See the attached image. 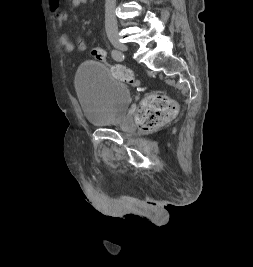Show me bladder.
I'll return each mask as SVG.
<instances>
[{"label":"bladder","mask_w":253,"mask_h":267,"mask_svg":"<svg viewBox=\"0 0 253 267\" xmlns=\"http://www.w3.org/2000/svg\"><path fill=\"white\" fill-rule=\"evenodd\" d=\"M76 90L85 120L99 127L114 124L132 99L130 88L96 61L80 66Z\"/></svg>","instance_id":"obj_1"}]
</instances>
